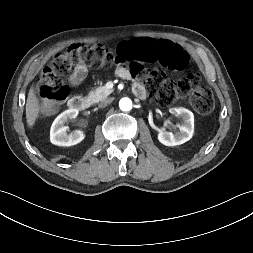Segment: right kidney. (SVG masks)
Here are the masks:
<instances>
[{
    "label": "right kidney",
    "instance_id": "1",
    "mask_svg": "<svg viewBox=\"0 0 253 253\" xmlns=\"http://www.w3.org/2000/svg\"><path fill=\"white\" fill-rule=\"evenodd\" d=\"M77 115V109H68L57 116L50 129V141L52 144L57 146H72L80 143L85 138L84 133L80 130L67 134L68 128L64 126L66 122L76 118Z\"/></svg>",
    "mask_w": 253,
    "mask_h": 253
}]
</instances>
